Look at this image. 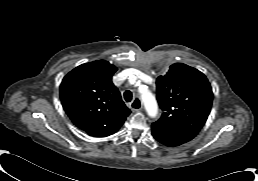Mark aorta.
<instances>
[{"label":"aorta","instance_id":"1","mask_svg":"<svg viewBox=\"0 0 258 181\" xmlns=\"http://www.w3.org/2000/svg\"><path fill=\"white\" fill-rule=\"evenodd\" d=\"M141 98L148 115L151 117H155L158 110L155 97L150 92L146 91L142 93Z\"/></svg>","mask_w":258,"mask_h":181}]
</instances>
